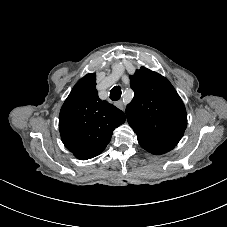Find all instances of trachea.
<instances>
[{
	"label": "trachea",
	"instance_id": "trachea-1",
	"mask_svg": "<svg viewBox=\"0 0 227 227\" xmlns=\"http://www.w3.org/2000/svg\"><path fill=\"white\" fill-rule=\"evenodd\" d=\"M121 88L119 86H114L111 90H110V99L113 101H117L120 99L121 97Z\"/></svg>",
	"mask_w": 227,
	"mask_h": 227
}]
</instances>
